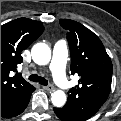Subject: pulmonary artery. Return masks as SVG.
Segmentation results:
<instances>
[{"instance_id": "obj_1", "label": "pulmonary artery", "mask_w": 121, "mask_h": 121, "mask_svg": "<svg viewBox=\"0 0 121 121\" xmlns=\"http://www.w3.org/2000/svg\"><path fill=\"white\" fill-rule=\"evenodd\" d=\"M67 57H68L67 44L64 40H59L54 45L50 69L52 71L56 83L62 89L65 90L69 89V83L65 74Z\"/></svg>"}]
</instances>
